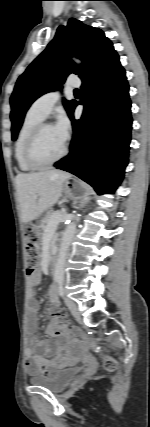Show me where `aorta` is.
<instances>
[{
	"mask_svg": "<svg viewBox=\"0 0 150 427\" xmlns=\"http://www.w3.org/2000/svg\"><path fill=\"white\" fill-rule=\"evenodd\" d=\"M74 60L78 64L81 63L80 60H77V59H74ZM75 231H76V223L72 221L67 225L63 233L58 258L55 265V271H54V280L57 282H62L64 279V271H65L67 254H68V250L72 242V239L74 237Z\"/></svg>",
	"mask_w": 150,
	"mask_h": 427,
	"instance_id": "obj_1",
	"label": "aorta"
}]
</instances>
